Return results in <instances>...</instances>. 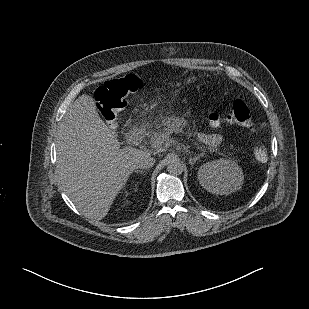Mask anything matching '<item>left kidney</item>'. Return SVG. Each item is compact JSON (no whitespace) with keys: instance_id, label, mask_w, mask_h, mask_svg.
Returning <instances> with one entry per match:
<instances>
[{"instance_id":"5707ae66","label":"left kidney","mask_w":309,"mask_h":309,"mask_svg":"<svg viewBox=\"0 0 309 309\" xmlns=\"http://www.w3.org/2000/svg\"><path fill=\"white\" fill-rule=\"evenodd\" d=\"M243 180L242 169L233 160L207 162L198 170L200 185L212 194L229 195L242 187Z\"/></svg>"}]
</instances>
